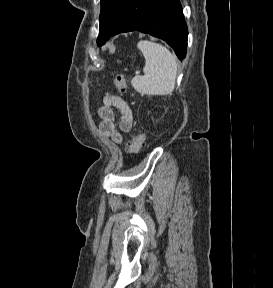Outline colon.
<instances>
[{
    "instance_id": "colon-1",
    "label": "colon",
    "mask_w": 273,
    "mask_h": 288,
    "mask_svg": "<svg viewBox=\"0 0 273 288\" xmlns=\"http://www.w3.org/2000/svg\"><path fill=\"white\" fill-rule=\"evenodd\" d=\"M114 84L120 92H124L126 90V81L122 74L116 75L114 79ZM145 142H146V137L143 133L135 134L126 143L125 149L129 154H136L142 149Z\"/></svg>"
}]
</instances>
